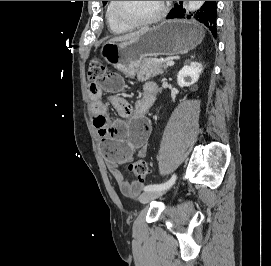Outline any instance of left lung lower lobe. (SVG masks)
Returning <instances> with one entry per match:
<instances>
[{"instance_id": "0a47b994", "label": "left lung lower lobe", "mask_w": 271, "mask_h": 266, "mask_svg": "<svg viewBox=\"0 0 271 266\" xmlns=\"http://www.w3.org/2000/svg\"><path fill=\"white\" fill-rule=\"evenodd\" d=\"M216 1H205L203 6L195 14H186L185 9H183L182 1L180 5H175V7L167 15V19L173 18H187L195 19L200 23L204 24L211 33L216 37Z\"/></svg>"}]
</instances>
